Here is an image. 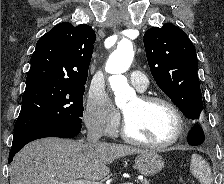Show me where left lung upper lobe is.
Returning a JSON list of instances; mask_svg holds the SVG:
<instances>
[{"instance_id": "obj_1", "label": "left lung upper lobe", "mask_w": 224, "mask_h": 184, "mask_svg": "<svg viewBox=\"0 0 224 184\" xmlns=\"http://www.w3.org/2000/svg\"><path fill=\"white\" fill-rule=\"evenodd\" d=\"M143 41L157 85L187 118L199 121L203 103L193 43L173 24L148 29Z\"/></svg>"}]
</instances>
